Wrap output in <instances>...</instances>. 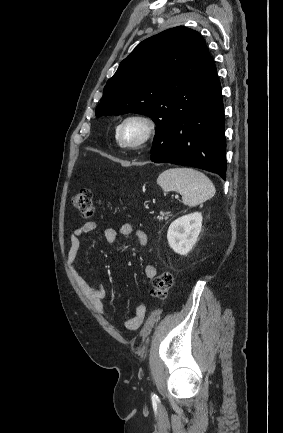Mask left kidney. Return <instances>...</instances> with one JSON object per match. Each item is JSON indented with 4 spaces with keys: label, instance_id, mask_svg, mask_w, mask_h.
Instances as JSON below:
<instances>
[{
    "label": "left kidney",
    "instance_id": "5707ae66",
    "mask_svg": "<svg viewBox=\"0 0 283 433\" xmlns=\"http://www.w3.org/2000/svg\"><path fill=\"white\" fill-rule=\"evenodd\" d=\"M202 228V214L194 212L174 220L167 232L170 248L180 255H186L197 242Z\"/></svg>",
    "mask_w": 283,
    "mask_h": 433
}]
</instances>
